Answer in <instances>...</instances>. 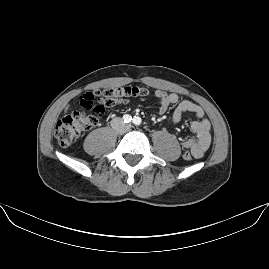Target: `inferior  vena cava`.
Instances as JSON below:
<instances>
[{
  "instance_id": "1",
  "label": "inferior vena cava",
  "mask_w": 269,
  "mask_h": 269,
  "mask_svg": "<svg viewBox=\"0 0 269 269\" xmlns=\"http://www.w3.org/2000/svg\"><path fill=\"white\" fill-rule=\"evenodd\" d=\"M117 122V123H116ZM111 125H112V128L113 129H118L122 124H121V121L120 120H112L111 121ZM130 128V125L128 124H124V129L123 131H127L128 129Z\"/></svg>"
}]
</instances>
